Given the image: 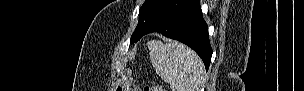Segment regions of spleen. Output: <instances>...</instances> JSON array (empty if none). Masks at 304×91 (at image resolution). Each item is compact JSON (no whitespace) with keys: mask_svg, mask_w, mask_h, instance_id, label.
<instances>
[{"mask_svg":"<svg viewBox=\"0 0 304 91\" xmlns=\"http://www.w3.org/2000/svg\"><path fill=\"white\" fill-rule=\"evenodd\" d=\"M148 47L156 73L170 84L172 91H198L205 71L193 50L176 41H151Z\"/></svg>","mask_w":304,"mask_h":91,"instance_id":"3e777b00","label":"spleen"}]
</instances>
